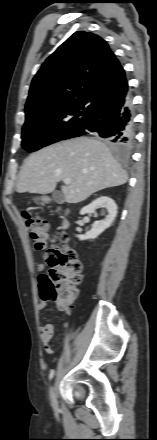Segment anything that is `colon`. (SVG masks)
Returning a JSON list of instances; mask_svg holds the SVG:
<instances>
[{"label": "colon", "instance_id": "1", "mask_svg": "<svg viewBox=\"0 0 157 440\" xmlns=\"http://www.w3.org/2000/svg\"><path fill=\"white\" fill-rule=\"evenodd\" d=\"M30 231L33 247L43 252V257L50 269L39 278L41 297L55 303L58 310L69 312L77 297V285L82 281V264L75 250L53 245L51 241L64 242V236L52 237L48 231L47 221L24 213Z\"/></svg>", "mask_w": 157, "mask_h": 440}]
</instances>
